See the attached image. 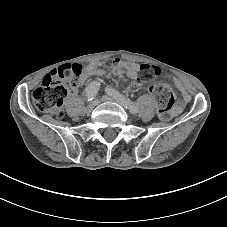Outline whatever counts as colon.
<instances>
[{
	"label": "colon",
	"mask_w": 227,
	"mask_h": 227,
	"mask_svg": "<svg viewBox=\"0 0 227 227\" xmlns=\"http://www.w3.org/2000/svg\"><path fill=\"white\" fill-rule=\"evenodd\" d=\"M114 68L123 69V61H115ZM85 71L86 68L79 64H66L52 70L34 89L32 93L34 106L39 111L61 117L64 98L79 87ZM161 74V69L157 66L139 65L138 77L142 80L152 81ZM149 90L156 100L159 117L163 120L168 119L175 104L173 90L164 84H153Z\"/></svg>",
	"instance_id": "obj_1"
}]
</instances>
